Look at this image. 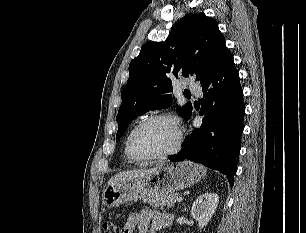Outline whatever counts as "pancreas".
I'll return each instance as SVG.
<instances>
[{
	"mask_svg": "<svg viewBox=\"0 0 306 233\" xmlns=\"http://www.w3.org/2000/svg\"><path fill=\"white\" fill-rule=\"evenodd\" d=\"M179 197V194L173 193L170 195H164L152 199H148L146 202L151 207H160L162 210L167 206V208H171L176 203V198Z\"/></svg>",
	"mask_w": 306,
	"mask_h": 233,
	"instance_id": "1",
	"label": "pancreas"
}]
</instances>
